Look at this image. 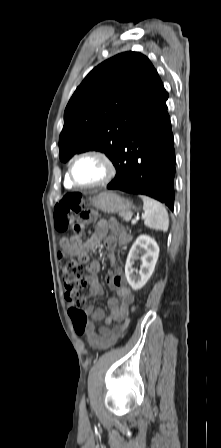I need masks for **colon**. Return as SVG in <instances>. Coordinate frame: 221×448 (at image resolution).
<instances>
[{
	"label": "colon",
	"mask_w": 221,
	"mask_h": 448,
	"mask_svg": "<svg viewBox=\"0 0 221 448\" xmlns=\"http://www.w3.org/2000/svg\"><path fill=\"white\" fill-rule=\"evenodd\" d=\"M81 203L82 196L78 193H67L56 202L54 225L58 232H65L70 227H73L76 233L82 231L84 224L89 220L90 214L88 210L82 208ZM59 262L65 295L71 303L69 313L74 329L78 335H83L88 323L84 308L89 294L85 267L82 260L65 254L59 256Z\"/></svg>",
	"instance_id": "colon-1"
}]
</instances>
